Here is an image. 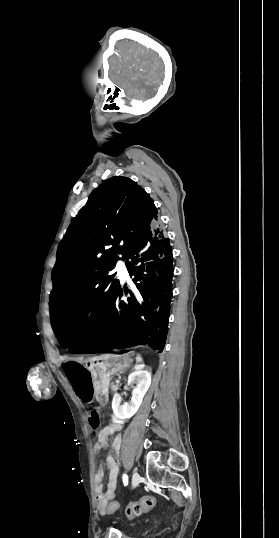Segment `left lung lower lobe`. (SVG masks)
<instances>
[{"label":"left lung lower lobe","instance_id":"1","mask_svg":"<svg viewBox=\"0 0 279 538\" xmlns=\"http://www.w3.org/2000/svg\"><path fill=\"white\" fill-rule=\"evenodd\" d=\"M127 269L134 276V293L121 301L122 290L115 293L110 308L98 328L89 336L64 332L58 336L72 353H99L114 348L148 345L162 352L172 298V249L163 231L152 225L130 249Z\"/></svg>","mask_w":279,"mask_h":538}]
</instances>
